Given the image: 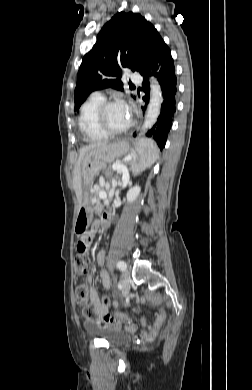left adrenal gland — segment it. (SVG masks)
<instances>
[{"mask_svg": "<svg viewBox=\"0 0 252 390\" xmlns=\"http://www.w3.org/2000/svg\"><path fill=\"white\" fill-rule=\"evenodd\" d=\"M118 184H119V185H123V182H120V181H119V183H118Z\"/></svg>", "mask_w": 252, "mask_h": 390, "instance_id": "1", "label": "left adrenal gland"}]
</instances>
